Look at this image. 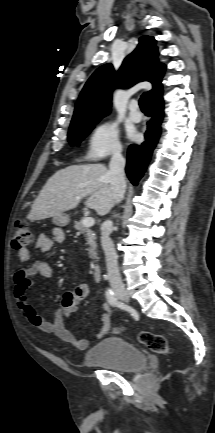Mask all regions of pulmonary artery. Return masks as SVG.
Returning a JSON list of instances; mask_svg holds the SVG:
<instances>
[{"instance_id": "obj_1", "label": "pulmonary artery", "mask_w": 215, "mask_h": 433, "mask_svg": "<svg viewBox=\"0 0 215 433\" xmlns=\"http://www.w3.org/2000/svg\"><path fill=\"white\" fill-rule=\"evenodd\" d=\"M129 117L134 122H139L142 119V114L138 110V104L134 100L129 104Z\"/></svg>"}]
</instances>
